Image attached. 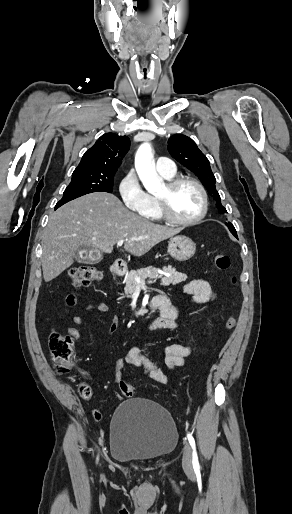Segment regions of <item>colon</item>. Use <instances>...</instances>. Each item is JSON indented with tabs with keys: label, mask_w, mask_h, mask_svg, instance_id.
Masks as SVG:
<instances>
[{
	"label": "colon",
	"mask_w": 292,
	"mask_h": 514,
	"mask_svg": "<svg viewBox=\"0 0 292 514\" xmlns=\"http://www.w3.org/2000/svg\"><path fill=\"white\" fill-rule=\"evenodd\" d=\"M214 263L221 271H228L231 265L229 256L222 253H218L214 256ZM70 275L74 279L73 286L78 288L96 283L101 278L102 272L93 266H81L72 269ZM235 325L236 317L232 314L225 321L224 330L230 331ZM49 348L54 368L60 373H68L72 365L77 361V354L73 349V339L63 333H52L49 336ZM118 390L120 395L130 398L134 394L135 387L131 382H127L120 384ZM79 393L84 400H89L92 397V390L86 384L80 385ZM92 414L94 417L98 418L101 412L95 409Z\"/></svg>",
	"instance_id": "obj_1"
}]
</instances>
